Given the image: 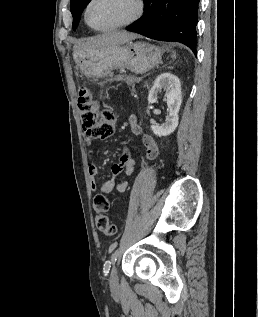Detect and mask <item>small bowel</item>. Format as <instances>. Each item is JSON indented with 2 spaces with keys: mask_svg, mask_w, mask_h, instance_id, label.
<instances>
[{
  "mask_svg": "<svg viewBox=\"0 0 258 317\" xmlns=\"http://www.w3.org/2000/svg\"><path fill=\"white\" fill-rule=\"evenodd\" d=\"M129 125L133 134L138 135L141 137L143 146L145 148V156L148 160H154L158 155V146L154 138L145 133L141 126L137 122V117L135 115L130 116L129 118ZM85 139L87 144L91 145V138L88 137L85 133ZM89 155L92 156V152H89ZM135 169V161L129 157L128 152L125 151L120 160L112 165L111 172L113 174V178L109 179L102 184L98 185L96 181V176L98 174V167L96 163L91 159L88 164V172H89V182L91 189L93 191L99 190L102 193H110L114 189L118 192H125L128 189V181L123 179L118 183L115 182L114 177L119 175L121 172L125 173L126 177L132 175Z\"/></svg>",
  "mask_w": 258,
  "mask_h": 317,
  "instance_id": "obj_1",
  "label": "small bowel"
}]
</instances>
